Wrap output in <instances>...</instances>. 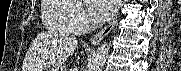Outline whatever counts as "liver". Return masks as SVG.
Masks as SVG:
<instances>
[{
  "label": "liver",
  "instance_id": "1",
  "mask_svg": "<svg viewBox=\"0 0 181 71\" xmlns=\"http://www.w3.org/2000/svg\"><path fill=\"white\" fill-rule=\"evenodd\" d=\"M77 47V40L65 34L41 33L34 40L25 59L27 71H43L63 64Z\"/></svg>",
  "mask_w": 181,
  "mask_h": 71
}]
</instances>
